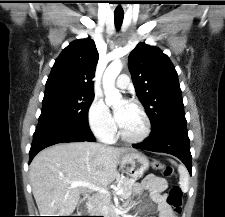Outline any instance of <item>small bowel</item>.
Wrapping results in <instances>:
<instances>
[{
    "label": "small bowel",
    "mask_w": 225,
    "mask_h": 217,
    "mask_svg": "<svg viewBox=\"0 0 225 217\" xmlns=\"http://www.w3.org/2000/svg\"><path fill=\"white\" fill-rule=\"evenodd\" d=\"M165 187L166 184L164 180L153 174L147 175L142 182L135 185L134 192L136 195H140L144 191L150 193L151 203L143 202L140 205L141 210L146 212L149 217H156L154 215L156 212L157 217H177L163 195ZM134 205V200H129L127 203L128 208Z\"/></svg>",
    "instance_id": "obj_1"
}]
</instances>
